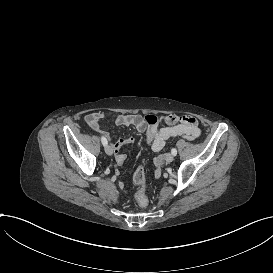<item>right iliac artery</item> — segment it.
Returning a JSON list of instances; mask_svg holds the SVG:
<instances>
[{
	"instance_id": "obj_1",
	"label": "right iliac artery",
	"mask_w": 273,
	"mask_h": 273,
	"mask_svg": "<svg viewBox=\"0 0 273 273\" xmlns=\"http://www.w3.org/2000/svg\"><path fill=\"white\" fill-rule=\"evenodd\" d=\"M101 141H102V144L104 145V146H106L107 145V140H106V138L105 137H101Z\"/></svg>"
}]
</instances>
